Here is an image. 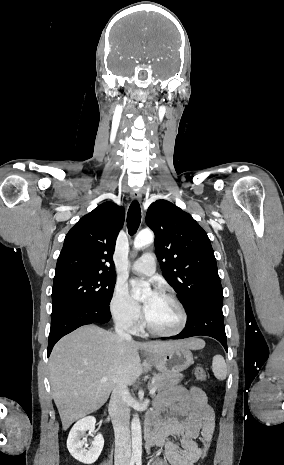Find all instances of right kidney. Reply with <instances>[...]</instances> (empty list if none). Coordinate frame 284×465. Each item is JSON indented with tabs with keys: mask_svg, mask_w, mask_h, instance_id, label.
<instances>
[{
	"mask_svg": "<svg viewBox=\"0 0 284 465\" xmlns=\"http://www.w3.org/2000/svg\"><path fill=\"white\" fill-rule=\"evenodd\" d=\"M95 417H84L75 423L72 427L68 439H67V449L71 453L74 459L80 461V463H85V465H92L97 461L103 447L104 439L102 435H96L90 449H85L86 445V431H90L89 435H92L95 431ZM84 437V439H82Z\"/></svg>",
	"mask_w": 284,
	"mask_h": 465,
	"instance_id": "obj_1",
	"label": "right kidney"
}]
</instances>
